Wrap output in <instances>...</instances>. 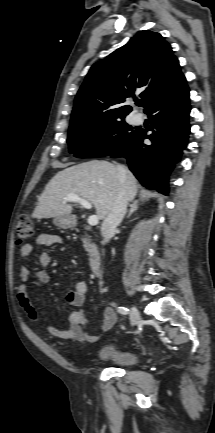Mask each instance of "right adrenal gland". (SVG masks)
Segmentation results:
<instances>
[{
    "label": "right adrenal gland",
    "instance_id": "right-adrenal-gland-1",
    "mask_svg": "<svg viewBox=\"0 0 215 433\" xmlns=\"http://www.w3.org/2000/svg\"><path fill=\"white\" fill-rule=\"evenodd\" d=\"M138 201H134L132 204H130V210L128 211L127 217L129 218L138 208L137 206Z\"/></svg>",
    "mask_w": 215,
    "mask_h": 433
}]
</instances>
